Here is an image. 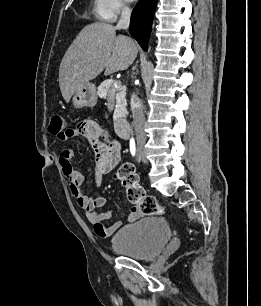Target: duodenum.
Listing matches in <instances>:
<instances>
[{
	"label": "duodenum",
	"instance_id": "1",
	"mask_svg": "<svg viewBox=\"0 0 261 306\" xmlns=\"http://www.w3.org/2000/svg\"><path fill=\"white\" fill-rule=\"evenodd\" d=\"M116 133L123 139H127L131 133V126L125 119H117L114 124Z\"/></svg>",
	"mask_w": 261,
	"mask_h": 306
}]
</instances>
